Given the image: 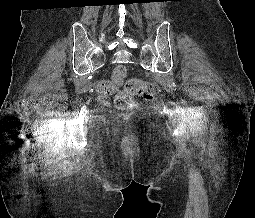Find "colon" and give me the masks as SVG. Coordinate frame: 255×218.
<instances>
[{"label":"colon","mask_w":255,"mask_h":218,"mask_svg":"<svg viewBox=\"0 0 255 218\" xmlns=\"http://www.w3.org/2000/svg\"><path fill=\"white\" fill-rule=\"evenodd\" d=\"M127 67L117 66L113 71V82L102 81L99 83L98 91L101 95H110L117 91V85L126 77ZM134 95H139L145 100H153L155 97V87L150 81L141 78H131L127 81L125 90L120 91L115 96V106L120 110H131L136 104Z\"/></svg>","instance_id":"1"}]
</instances>
